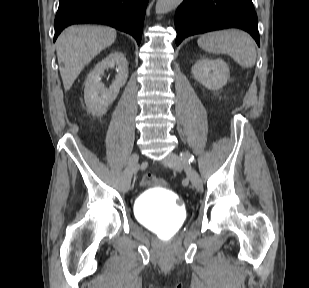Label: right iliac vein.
<instances>
[{
    "instance_id": "1",
    "label": "right iliac vein",
    "mask_w": 309,
    "mask_h": 288,
    "mask_svg": "<svg viewBox=\"0 0 309 288\" xmlns=\"http://www.w3.org/2000/svg\"><path fill=\"white\" fill-rule=\"evenodd\" d=\"M139 161V155L138 153H133L128 161V164L123 172V180L125 183L126 190H129L131 181L133 179V176L137 170V168L134 167L135 163H138Z\"/></svg>"
}]
</instances>
